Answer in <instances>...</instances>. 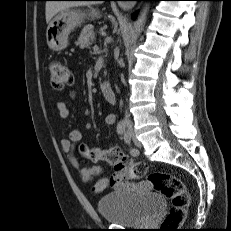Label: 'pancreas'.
Returning a JSON list of instances; mask_svg holds the SVG:
<instances>
[{
    "label": "pancreas",
    "instance_id": "cf45deb5",
    "mask_svg": "<svg viewBox=\"0 0 231 231\" xmlns=\"http://www.w3.org/2000/svg\"><path fill=\"white\" fill-rule=\"evenodd\" d=\"M94 40L95 33L90 26H86L82 29L76 45L80 46L81 48H89Z\"/></svg>",
    "mask_w": 231,
    "mask_h": 231
}]
</instances>
